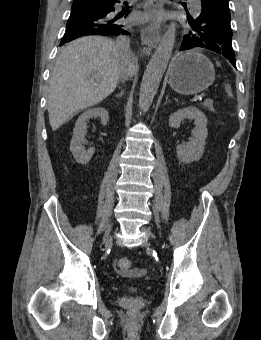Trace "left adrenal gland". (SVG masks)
Listing matches in <instances>:
<instances>
[{"instance_id":"obj_1","label":"left adrenal gland","mask_w":261,"mask_h":340,"mask_svg":"<svg viewBox=\"0 0 261 340\" xmlns=\"http://www.w3.org/2000/svg\"><path fill=\"white\" fill-rule=\"evenodd\" d=\"M168 102H169L168 96H166V101H165L164 105H166Z\"/></svg>"}]
</instances>
